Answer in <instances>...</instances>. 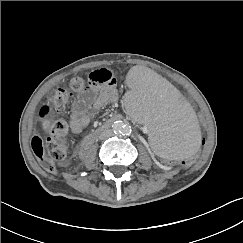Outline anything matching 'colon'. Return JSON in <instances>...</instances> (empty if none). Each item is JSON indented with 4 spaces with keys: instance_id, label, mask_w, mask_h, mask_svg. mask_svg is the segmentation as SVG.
<instances>
[{
    "instance_id": "obj_1",
    "label": "colon",
    "mask_w": 243,
    "mask_h": 243,
    "mask_svg": "<svg viewBox=\"0 0 243 243\" xmlns=\"http://www.w3.org/2000/svg\"><path fill=\"white\" fill-rule=\"evenodd\" d=\"M92 72L86 80L83 77H74L69 82L67 88H59L55 90L49 97L48 102L42 106L41 115L45 117L43 127L50 134L46 144L38 132L31 139V147L36 155L41 167L47 172L56 171V162L63 160L66 157L68 150V142L65 135L68 131V126L64 121H53L47 116L54 110H62L67 105L69 99L74 94L84 92L87 87L96 83L99 85H110L115 81V76L112 71L107 68L98 69ZM204 137H207V130H204ZM206 138H203L202 146L199 152L193 151L187 159H172L162 157L159 160L160 165L175 168H190L198 159L200 152L205 148Z\"/></svg>"
}]
</instances>
